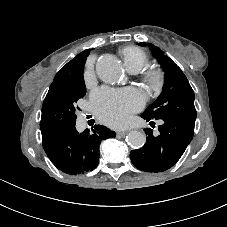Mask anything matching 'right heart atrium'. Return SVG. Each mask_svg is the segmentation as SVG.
<instances>
[{
	"label": "right heart atrium",
	"instance_id": "1",
	"mask_svg": "<svg viewBox=\"0 0 227 227\" xmlns=\"http://www.w3.org/2000/svg\"><path fill=\"white\" fill-rule=\"evenodd\" d=\"M94 62H95V57L93 56V57H90L89 58V60H88V65H87V71H86V76H88L89 74H90V72H91V67L93 66V64H94Z\"/></svg>",
	"mask_w": 227,
	"mask_h": 227
}]
</instances>
